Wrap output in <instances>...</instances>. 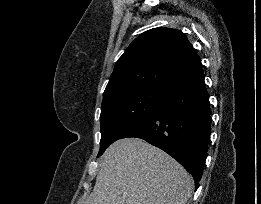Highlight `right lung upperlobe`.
Segmentation results:
<instances>
[{
	"instance_id": "right-lung-upper-lobe-1",
	"label": "right lung upper lobe",
	"mask_w": 261,
	"mask_h": 204,
	"mask_svg": "<svg viewBox=\"0 0 261 204\" xmlns=\"http://www.w3.org/2000/svg\"><path fill=\"white\" fill-rule=\"evenodd\" d=\"M202 69L187 37L154 28L138 36L118 59L103 97L126 90L167 92Z\"/></svg>"
}]
</instances>
